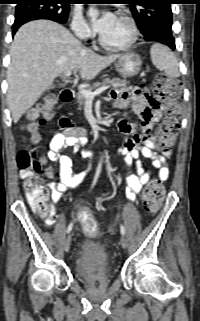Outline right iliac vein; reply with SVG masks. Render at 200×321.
<instances>
[{
	"mask_svg": "<svg viewBox=\"0 0 200 321\" xmlns=\"http://www.w3.org/2000/svg\"><path fill=\"white\" fill-rule=\"evenodd\" d=\"M71 244V235H68L64 242V250L67 252Z\"/></svg>",
	"mask_w": 200,
	"mask_h": 321,
	"instance_id": "1",
	"label": "right iliac vein"
}]
</instances>
